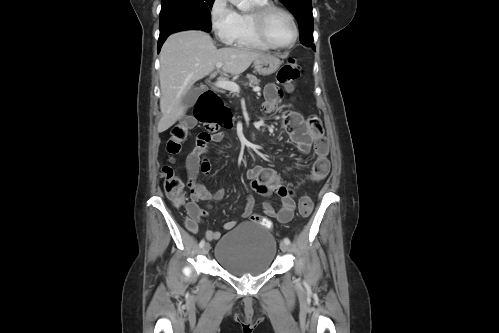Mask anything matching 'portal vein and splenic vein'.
<instances>
[{
  "mask_svg": "<svg viewBox=\"0 0 499 333\" xmlns=\"http://www.w3.org/2000/svg\"><path fill=\"white\" fill-rule=\"evenodd\" d=\"M223 66V63L222 62H218L216 64V67L218 69H220L221 67ZM216 75V73H213L211 75V78L214 77ZM216 86L221 88V89H226V90H229V91H232V92H239L240 91V87L239 85H237L235 82H231V81H226V80H218L216 82ZM254 91H260V88L259 87H256L254 88Z\"/></svg>",
  "mask_w": 499,
  "mask_h": 333,
  "instance_id": "portal-vein-and-splenic-vein-1",
  "label": "portal vein and splenic vein"
}]
</instances>
